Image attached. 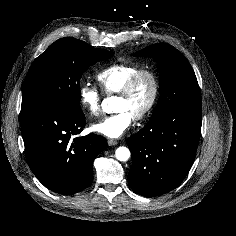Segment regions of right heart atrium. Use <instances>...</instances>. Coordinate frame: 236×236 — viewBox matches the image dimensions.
<instances>
[{"instance_id":"d8ad5b80","label":"right heart atrium","mask_w":236,"mask_h":236,"mask_svg":"<svg viewBox=\"0 0 236 236\" xmlns=\"http://www.w3.org/2000/svg\"><path fill=\"white\" fill-rule=\"evenodd\" d=\"M80 102L83 108L92 116L101 114V94L99 90L90 84H83L79 88Z\"/></svg>"}]
</instances>
